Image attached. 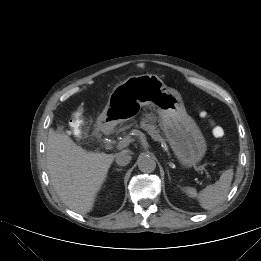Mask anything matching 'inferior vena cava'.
I'll return each instance as SVG.
<instances>
[{"label": "inferior vena cava", "mask_w": 261, "mask_h": 261, "mask_svg": "<svg viewBox=\"0 0 261 261\" xmlns=\"http://www.w3.org/2000/svg\"><path fill=\"white\" fill-rule=\"evenodd\" d=\"M115 161L120 166H126L131 161V155L124 150L116 155Z\"/></svg>", "instance_id": "602c4592"}]
</instances>
